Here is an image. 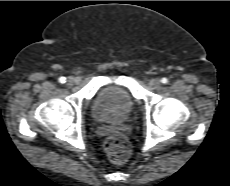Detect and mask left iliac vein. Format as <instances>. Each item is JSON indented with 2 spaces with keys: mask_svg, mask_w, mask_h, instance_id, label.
I'll use <instances>...</instances> for the list:
<instances>
[{
  "mask_svg": "<svg viewBox=\"0 0 230 186\" xmlns=\"http://www.w3.org/2000/svg\"><path fill=\"white\" fill-rule=\"evenodd\" d=\"M161 85V80L158 78H155L151 81V86L154 88H158Z\"/></svg>",
  "mask_w": 230,
  "mask_h": 186,
  "instance_id": "1",
  "label": "left iliac vein"
}]
</instances>
